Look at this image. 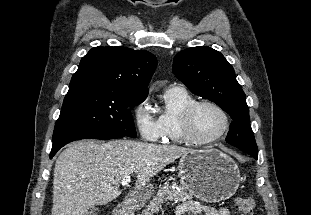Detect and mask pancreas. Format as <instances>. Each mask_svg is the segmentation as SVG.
<instances>
[{
  "label": "pancreas",
  "instance_id": "pancreas-1",
  "mask_svg": "<svg viewBox=\"0 0 311 215\" xmlns=\"http://www.w3.org/2000/svg\"><path fill=\"white\" fill-rule=\"evenodd\" d=\"M191 198L192 195L188 194L183 187H178L177 184L162 186L140 215H153L158 213L162 205L169 201L178 203Z\"/></svg>",
  "mask_w": 311,
  "mask_h": 215
}]
</instances>
